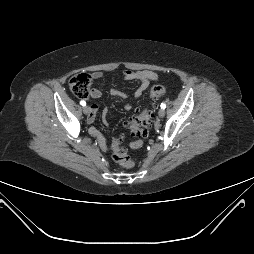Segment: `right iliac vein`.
I'll list each match as a JSON object with an SVG mask.
<instances>
[{
	"mask_svg": "<svg viewBox=\"0 0 254 254\" xmlns=\"http://www.w3.org/2000/svg\"><path fill=\"white\" fill-rule=\"evenodd\" d=\"M83 112H84V114L88 115L90 113V107L89 106H84L83 107Z\"/></svg>",
	"mask_w": 254,
	"mask_h": 254,
	"instance_id": "63e3f726",
	"label": "right iliac vein"
}]
</instances>
